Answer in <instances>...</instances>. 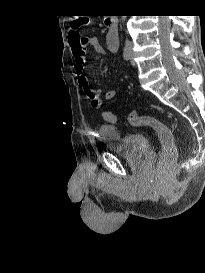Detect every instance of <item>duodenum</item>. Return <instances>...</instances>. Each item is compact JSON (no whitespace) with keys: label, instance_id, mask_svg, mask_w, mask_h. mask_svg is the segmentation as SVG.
Instances as JSON below:
<instances>
[{"label":"duodenum","instance_id":"obj_1","mask_svg":"<svg viewBox=\"0 0 205 273\" xmlns=\"http://www.w3.org/2000/svg\"><path fill=\"white\" fill-rule=\"evenodd\" d=\"M118 18L116 16H109L105 20L106 27L113 33L116 31Z\"/></svg>","mask_w":205,"mask_h":273}]
</instances>
